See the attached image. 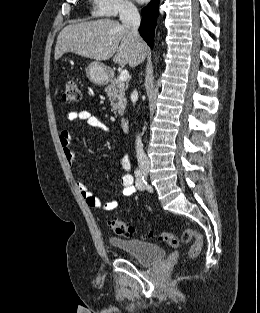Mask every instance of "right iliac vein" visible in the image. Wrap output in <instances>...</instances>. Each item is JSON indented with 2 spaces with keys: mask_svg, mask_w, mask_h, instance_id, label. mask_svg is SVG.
I'll return each instance as SVG.
<instances>
[{
  "mask_svg": "<svg viewBox=\"0 0 260 313\" xmlns=\"http://www.w3.org/2000/svg\"><path fill=\"white\" fill-rule=\"evenodd\" d=\"M142 173H143L144 176H147V175H148V170L145 169V168H143V169H142Z\"/></svg>",
  "mask_w": 260,
  "mask_h": 313,
  "instance_id": "63e3f726",
  "label": "right iliac vein"
}]
</instances>
